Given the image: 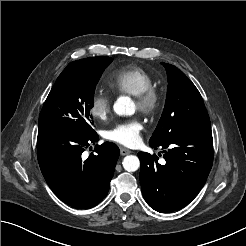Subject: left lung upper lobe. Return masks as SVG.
<instances>
[{
  "label": "left lung upper lobe",
  "instance_id": "1",
  "mask_svg": "<svg viewBox=\"0 0 246 246\" xmlns=\"http://www.w3.org/2000/svg\"><path fill=\"white\" fill-rule=\"evenodd\" d=\"M168 90L164 111L149 143L159 145L176 133L207 130L210 119L195 85L177 67L162 63Z\"/></svg>",
  "mask_w": 246,
  "mask_h": 246
}]
</instances>
